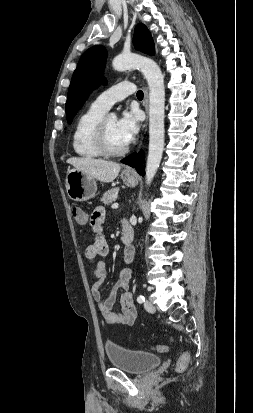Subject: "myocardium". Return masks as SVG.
Segmentation results:
<instances>
[{"label": "myocardium", "instance_id": "f54148a6", "mask_svg": "<svg viewBox=\"0 0 253 413\" xmlns=\"http://www.w3.org/2000/svg\"><path fill=\"white\" fill-rule=\"evenodd\" d=\"M105 120L106 118L100 119L94 128L93 140L96 148L105 156L123 155L128 149L126 145L119 149H113L109 146L105 133Z\"/></svg>", "mask_w": 253, "mask_h": 413}]
</instances>
